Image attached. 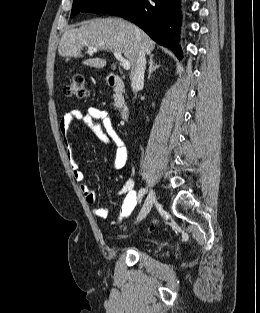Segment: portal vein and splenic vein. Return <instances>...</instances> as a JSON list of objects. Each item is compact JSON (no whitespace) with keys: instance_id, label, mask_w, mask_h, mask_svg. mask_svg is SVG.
Returning a JSON list of instances; mask_svg holds the SVG:
<instances>
[{"instance_id":"1","label":"portal vein and splenic vein","mask_w":260,"mask_h":313,"mask_svg":"<svg viewBox=\"0 0 260 313\" xmlns=\"http://www.w3.org/2000/svg\"><path fill=\"white\" fill-rule=\"evenodd\" d=\"M98 50H99L98 47H89V48H88V52H89V53H95V52H97ZM113 54H114L115 58H116L118 61H120V63H121V65H122L123 69H125V70H129V69H130L131 64H130V61H129V60L125 59V58L122 56V54L119 53V52H115V51H114Z\"/></svg>"}]
</instances>
